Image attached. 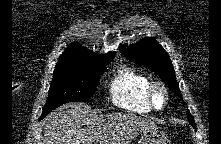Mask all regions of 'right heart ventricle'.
<instances>
[{
  "instance_id": "right-heart-ventricle-1",
  "label": "right heart ventricle",
  "mask_w": 221,
  "mask_h": 144,
  "mask_svg": "<svg viewBox=\"0 0 221 144\" xmlns=\"http://www.w3.org/2000/svg\"><path fill=\"white\" fill-rule=\"evenodd\" d=\"M150 78L130 66H122L110 83V97L114 105L134 113H148L152 110L147 90Z\"/></svg>"
}]
</instances>
